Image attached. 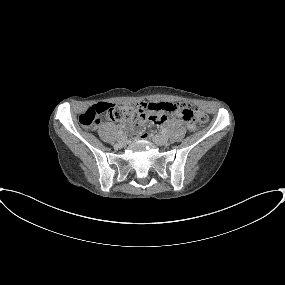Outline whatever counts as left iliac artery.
<instances>
[{
    "instance_id": "left-iliac-artery-1",
    "label": "left iliac artery",
    "mask_w": 285,
    "mask_h": 285,
    "mask_svg": "<svg viewBox=\"0 0 285 285\" xmlns=\"http://www.w3.org/2000/svg\"><path fill=\"white\" fill-rule=\"evenodd\" d=\"M161 133L165 135L167 133V129L166 128H162Z\"/></svg>"
}]
</instances>
